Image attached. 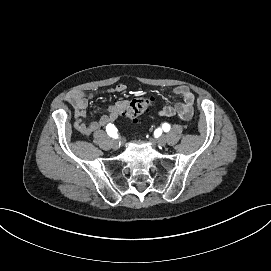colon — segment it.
<instances>
[{
    "label": "colon",
    "instance_id": "5ec220e1",
    "mask_svg": "<svg viewBox=\"0 0 271 271\" xmlns=\"http://www.w3.org/2000/svg\"><path fill=\"white\" fill-rule=\"evenodd\" d=\"M152 99L148 97H137L127 103L124 115L129 119H134L148 110Z\"/></svg>",
    "mask_w": 271,
    "mask_h": 271
}]
</instances>
